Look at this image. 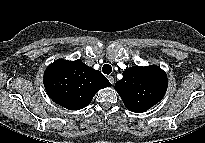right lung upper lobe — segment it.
<instances>
[{"label":"right lung upper lobe","mask_w":205,"mask_h":143,"mask_svg":"<svg viewBox=\"0 0 205 143\" xmlns=\"http://www.w3.org/2000/svg\"><path fill=\"white\" fill-rule=\"evenodd\" d=\"M44 86L55 103L69 110H79L91 102L98 90L110 87L111 83L100 71L80 59H59L47 67Z\"/></svg>","instance_id":"1"}]
</instances>
